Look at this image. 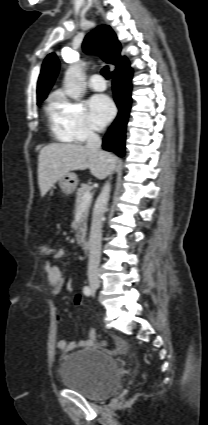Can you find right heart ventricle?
<instances>
[{"label": "right heart ventricle", "mask_w": 208, "mask_h": 425, "mask_svg": "<svg viewBox=\"0 0 208 425\" xmlns=\"http://www.w3.org/2000/svg\"><path fill=\"white\" fill-rule=\"evenodd\" d=\"M53 103H54V100L47 107V112H48V115H49V118H50V123L54 128V131H55L57 138L61 141L69 142V141H71V139L65 133L60 131L56 126L55 115H54V111H53Z\"/></svg>", "instance_id": "obj_1"}]
</instances>
